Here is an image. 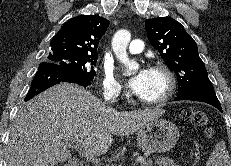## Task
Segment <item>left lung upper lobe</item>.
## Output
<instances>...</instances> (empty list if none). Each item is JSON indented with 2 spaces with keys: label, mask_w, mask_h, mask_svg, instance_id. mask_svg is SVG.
Wrapping results in <instances>:
<instances>
[{
  "label": "left lung upper lobe",
  "mask_w": 231,
  "mask_h": 166,
  "mask_svg": "<svg viewBox=\"0 0 231 166\" xmlns=\"http://www.w3.org/2000/svg\"><path fill=\"white\" fill-rule=\"evenodd\" d=\"M145 28L152 46L177 75L178 95L189 91H214L196 42L178 21L170 17L148 19Z\"/></svg>",
  "instance_id": "obj_1"
}]
</instances>
